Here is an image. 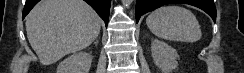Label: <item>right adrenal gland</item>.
Masks as SVG:
<instances>
[{"instance_id":"2a0ac1e0","label":"right adrenal gland","mask_w":244,"mask_h":73,"mask_svg":"<svg viewBox=\"0 0 244 73\" xmlns=\"http://www.w3.org/2000/svg\"><path fill=\"white\" fill-rule=\"evenodd\" d=\"M94 43H95V45H98V39Z\"/></svg>"}]
</instances>
